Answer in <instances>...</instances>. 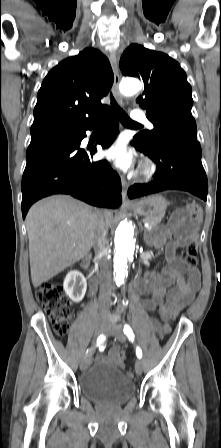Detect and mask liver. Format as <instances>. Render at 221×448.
Listing matches in <instances>:
<instances>
[{
    "label": "liver",
    "instance_id": "obj_1",
    "mask_svg": "<svg viewBox=\"0 0 221 448\" xmlns=\"http://www.w3.org/2000/svg\"><path fill=\"white\" fill-rule=\"evenodd\" d=\"M99 211L66 195L47 197L30 208L26 227L34 287L41 286L89 253ZM102 214L110 226L112 211L104 210Z\"/></svg>",
    "mask_w": 221,
    "mask_h": 448
}]
</instances>
